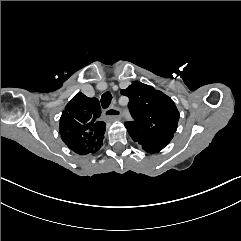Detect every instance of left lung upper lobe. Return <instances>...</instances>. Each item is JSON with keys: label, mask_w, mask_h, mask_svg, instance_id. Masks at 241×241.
<instances>
[{"label": "left lung upper lobe", "mask_w": 241, "mask_h": 241, "mask_svg": "<svg viewBox=\"0 0 241 241\" xmlns=\"http://www.w3.org/2000/svg\"><path fill=\"white\" fill-rule=\"evenodd\" d=\"M121 94L129 98L128 107L134 119L125 123L131 138L146 152L162 150L177 129L179 112L174 102L161 91L138 81Z\"/></svg>", "instance_id": "1"}]
</instances>
